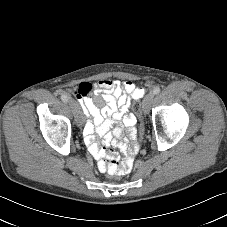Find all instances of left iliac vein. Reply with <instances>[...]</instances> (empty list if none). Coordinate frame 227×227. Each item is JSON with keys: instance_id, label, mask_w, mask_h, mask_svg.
Instances as JSON below:
<instances>
[{"instance_id": "obj_1", "label": "left iliac vein", "mask_w": 227, "mask_h": 227, "mask_svg": "<svg viewBox=\"0 0 227 227\" xmlns=\"http://www.w3.org/2000/svg\"><path fill=\"white\" fill-rule=\"evenodd\" d=\"M153 99H154V93H152V92L148 93L144 97L143 102H142V108H143V111L145 114H147L150 111Z\"/></svg>"}]
</instances>
